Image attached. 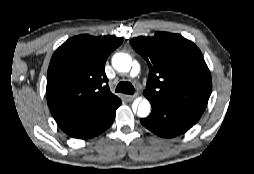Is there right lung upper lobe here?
<instances>
[{
    "label": "right lung upper lobe",
    "mask_w": 254,
    "mask_h": 174,
    "mask_svg": "<svg viewBox=\"0 0 254 174\" xmlns=\"http://www.w3.org/2000/svg\"><path fill=\"white\" fill-rule=\"evenodd\" d=\"M122 42L113 36L79 35L54 52L47 73L46 95L56 121L83 105L119 100L104 84L108 82L105 62Z\"/></svg>",
    "instance_id": "1"
}]
</instances>
